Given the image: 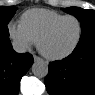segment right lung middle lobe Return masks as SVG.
<instances>
[{
    "label": "right lung middle lobe",
    "mask_w": 95,
    "mask_h": 95,
    "mask_svg": "<svg viewBox=\"0 0 95 95\" xmlns=\"http://www.w3.org/2000/svg\"><path fill=\"white\" fill-rule=\"evenodd\" d=\"M17 8L15 6L0 7V36L9 37L7 24L15 14Z\"/></svg>",
    "instance_id": "right-lung-middle-lobe-1"
}]
</instances>
